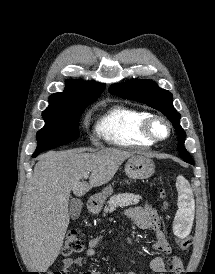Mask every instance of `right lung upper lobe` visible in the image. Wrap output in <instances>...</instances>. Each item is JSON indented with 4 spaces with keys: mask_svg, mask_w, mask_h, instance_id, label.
Instances as JSON below:
<instances>
[{
    "mask_svg": "<svg viewBox=\"0 0 215 274\" xmlns=\"http://www.w3.org/2000/svg\"><path fill=\"white\" fill-rule=\"evenodd\" d=\"M105 85L81 80H68L65 91L50 96L49 102H67L72 105L93 103L104 91Z\"/></svg>",
    "mask_w": 215,
    "mask_h": 274,
    "instance_id": "1",
    "label": "right lung upper lobe"
}]
</instances>
